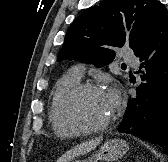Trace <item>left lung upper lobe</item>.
I'll return each instance as SVG.
<instances>
[{"label": "left lung upper lobe", "instance_id": "obj_1", "mask_svg": "<svg viewBox=\"0 0 168 162\" xmlns=\"http://www.w3.org/2000/svg\"><path fill=\"white\" fill-rule=\"evenodd\" d=\"M167 13L157 0H102L72 23L57 60L106 66L115 58V47L129 45L135 52Z\"/></svg>", "mask_w": 168, "mask_h": 162}]
</instances>
